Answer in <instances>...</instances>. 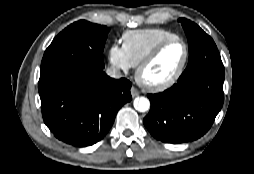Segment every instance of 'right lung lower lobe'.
Wrapping results in <instances>:
<instances>
[{
  "label": "right lung lower lobe",
  "mask_w": 254,
  "mask_h": 174,
  "mask_svg": "<svg viewBox=\"0 0 254 174\" xmlns=\"http://www.w3.org/2000/svg\"><path fill=\"white\" fill-rule=\"evenodd\" d=\"M131 83L100 70H76L39 85L44 123L64 143L86 147L103 139L118 110L132 100Z\"/></svg>",
  "instance_id": "98d812e1"
}]
</instances>
